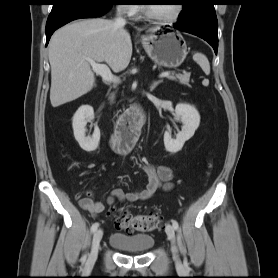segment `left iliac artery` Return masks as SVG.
Segmentation results:
<instances>
[{
    "mask_svg": "<svg viewBox=\"0 0 278 278\" xmlns=\"http://www.w3.org/2000/svg\"><path fill=\"white\" fill-rule=\"evenodd\" d=\"M172 224L175 230H177L179 228V224L176 220H172Z\"/></svg>",
    "mask_w": 278,
    "mask_h": 278,
    "instance_id": "1",
    "label": "left iliac artery"
}]
</instances>
